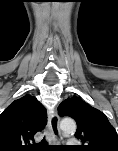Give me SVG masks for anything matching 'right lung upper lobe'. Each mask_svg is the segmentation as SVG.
I'll use <instances>...</instances> for the list:
<instances>
[{"label": "right lung upper lobe", "mask_w": 118, "mask_h": 151, "mask_svg": "<svg viewBox=\"0 0 118 151\" xmlns=\"http://www.w3.org/2000/svg\"><path fill=\"white\" fill-rule=\"evenodd\" d=\"M47 123V112L33 96L13 101L0 115V151H26L37 132Z\"/></svg>", "instance_id": "1"}]
</instances>
